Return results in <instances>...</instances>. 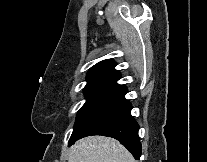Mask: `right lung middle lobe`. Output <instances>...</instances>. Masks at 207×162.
<instances>
[{
    "instance_id": "1",
    "label": "right lung middle lobe",
    "mask_w": 207,
    "mask_h": 162,
    "mask_svg": "<svg viewBox=\"0 0 207 162\" xmlns=\"http://www.w3.org/2000/svg\"><path fill=\"white\" fill-rule=\"evenodd\" d=\"M114 90L115 88L109 87H91L84 89L87 100L78 111L72 136L85 121V119L98 107L101 102H103L110 94H112Z\"/></svg>"
}]
</instances>
